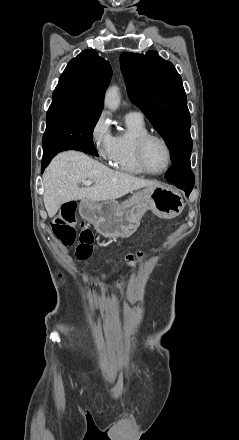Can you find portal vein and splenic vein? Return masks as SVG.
Returning a JSON list of instances; mask_svg holds the SVG:
<instances>
[{
  "label": "portal vein and splenic vein",
  "instance_id": "18ae733b",
  "mask_svg": "<svg viewBox=\"0 0 239 440\" xmlns=\"http://www.w3.org/2000/svg\"><path fill=\"white\" fill-rule=\"evenodd\" d=\"M83 184H84V186H91V184H93V182H91V180H84Z\"/></svg>",
  "mask_w": 239,
  "mask_h": 440
}]
</instances>
